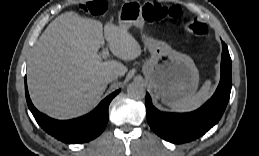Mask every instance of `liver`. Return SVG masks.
<instances>
[{
  "label": "liver",
  "mask_w": 259,
  "mask_h": 156,
  "mask_svg": "<svg viewBox=\"0 0 259 156\" xmlns=\"http://www.w3.org/2000/svg\"><path fill=\"white\" fill-rule=\"evenodd\" d=\"M126 27L107 23L104 37L112 54L134 60L142 53ZM103 26L69 11L56 17L40 36L27 71L33 104L56 119L81 116L97 105L109 83L107 75H125L120 62H103L98 50L104 43Z\"/></svg>",
  "instance_id": "obj_1"
}]
</instances>
